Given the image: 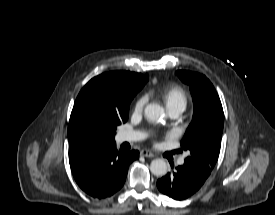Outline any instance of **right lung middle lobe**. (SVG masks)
<instances>
[{
    "mask_svg": "<svg viewBox=\"0 0 275 215\" xmlns=\"http://www.w3.org/2000/svg\"><path fill=\"white\" fill-rule=\"evenodd\" d=\"M130 98L118 111L97 102H84L71 113L69 146L76 148L114 141L117 126L128 119Z\"/></svg>",
    "mask_w": 275,
    "mask_h": 215,
    "instance_id": "1",
    "label": "right lung middle lobe"
}]
</instances>
